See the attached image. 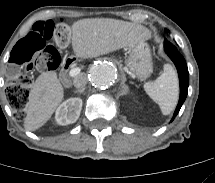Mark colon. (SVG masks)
Listing matches in <instances>:
<instances>
[{"label":"colon","mask_w":215,"mask_h":183,"mask_svg":"<svg viewBox=\"0 0 215 183\" xmlns=\"http://www.w3.org/2000/svg\"><path fill=\"white\" fill-rule=\"evenodd\" d=\"M68 23L64 17L36 23L11 51L7 74L9 83L6 97L17 113H22L28 103L33 69L54 70L61 63V56L52 41L64 42L68 37Z\"/></svg>","instance_id":"obj_1"}]
</instances>
